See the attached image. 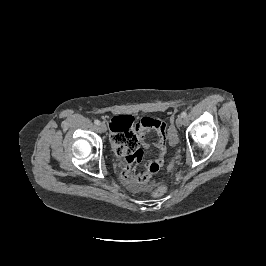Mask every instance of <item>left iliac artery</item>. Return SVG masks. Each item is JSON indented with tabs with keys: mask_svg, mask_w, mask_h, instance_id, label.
Masks as SVG:
<instances>
[{
	"mask_svg": "<svg viewBox=\"0 0 266 266\" xmlns=\"http://www.w3.org/2000/svg\"><path fill=\"white\" fill-rule=\"evenodd\" d=\"M181 116H182L183 118H185V117L187 116V113H186L185 111H183V112L181 113Z\"/></svg>",
	"mask_w": 266,
	"mask_h": 266,
	"instance_id": "1",
	"label": "left iliac artery"
}]
</instances>
